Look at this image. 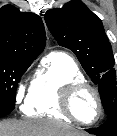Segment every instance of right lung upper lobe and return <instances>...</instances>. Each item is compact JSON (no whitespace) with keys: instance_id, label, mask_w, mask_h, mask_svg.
I'll list each match as a JSON object with an SVG mask.
<instances>
[{"instance_id":"1","label":"right lung upper lobe","mask_w":117,"mask_h":136,"mask_svg":"<svg viewBox=\"0 0 117 136\" xmlns=\"http://www.w3.org/2000/svg\"><path fill=\"white\" fill-rule=\"evenodd\" d=\"M46 44L40 16L20 12L15 6L0 9V57L35 60Z\"/></svg>"}]
</instances>
